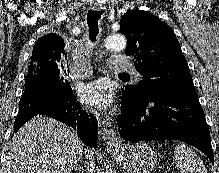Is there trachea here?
<instances>
[{
	"mask_svg": "<svg viewBox=\"0 0 219 173\" xmlns=\"http://www.w3.org/2000/svg\"><path fill=\"white\" fill-rule=\"evenodd\" d=\"M103 14V11H94L89 10L87 14V24L89 27V39L91 42L96 41V37L99 33V24L98 21L101 18V15ZM125 75L124 73H122Z\"/></svg>",
	"mask_w": 219,
	"mask_h": 173,
	"instance_id": "3493384b",
	"label": "trachea"
}]
</instances>
